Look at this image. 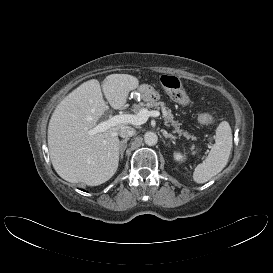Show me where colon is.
Wrapping results in <instances>:
<instances>
[{
  "label": "colon",
  "mask_w": 273,
  "mask_h": 273,
  "mask_svg": "<svg viewBox=\"0 0 273 273\" xmlns=\"http://www.w3.org/2000/svg\"><path fill=\"white\" fill-rule=\"evenodd\" d=\"M161 82L163 86L169 90L172 97L182 104H188L190 98L184 88L181 85L179 79L173 75H164L161 77ZM198 121L202 124H212L214 122V117L207 113H202L198 116Z\"/></svg>",
  "instance_id": "colon-1"
}]
</instances>
